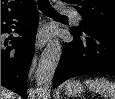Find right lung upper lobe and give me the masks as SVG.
Instances as JSON below:
<instances>
[{
    "label": "right lung upper lobe",
    "instance_id": "right-lung-upper-lobe-1",
    "mask_svg": "<svg viewBox=\"0 0 115 99\" xmlns=\"http://www.w3.org/2000/svg\"><path fill=\"white\" fill-rule=\"evenodd\" d=\"M31 4V2L24 0H1V19L10 15L19 14Z\"/></svg>",
    "mask_w": 115,
    "mask_h": 99
}]
</instances>
